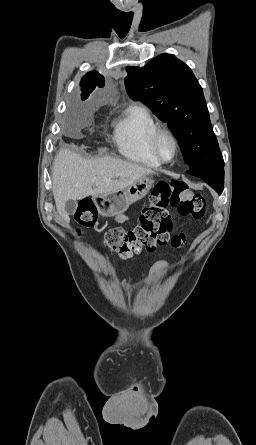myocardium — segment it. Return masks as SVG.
<instances>
[{
    "label": "myocardium",
    "mask_w": 256,
    "mask_h": 445,
    "mask_svg": "<svg viewBox=\"0 0 256 445\" xmlns=\"http://www.w3.org/2000/svg\"><path fill=\"white\" fill-rule=\"evenodd\" d=\"M163 137H168L172 141L173 146H174V154H173L172 158L169 160L165 159L160 152L159 145H160V141ZM151 151H152L154 157L161 164H169V163L173 162L177 158L178 153H179V143H178V140H177L176 136L174 135V133L166 128H158L154 132V134L152 135V138H151Z\"/></svg>",
    "instance_id": "f54148a6"
}]
</instances>
